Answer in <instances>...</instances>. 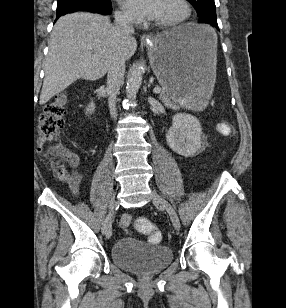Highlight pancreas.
<instances>
[{
    "instance_id": "1",
    "label": "pancreas",
    "mask_w": 286,
    "mask_h": 308,
    "mask_svg": "<svg viewBox=\"0 0 286 308\" xmlns=\"http://www.w3.org/2000/svg\"><path fill=\"white\" fill-rule=\"evenodd\" d=\"M160 98L165 102L167 106H170V107L174 106V104L178 102L176 100H171L170 96L168 95L165 89L161 91Z\"/></svg>"
}]
</instances>
